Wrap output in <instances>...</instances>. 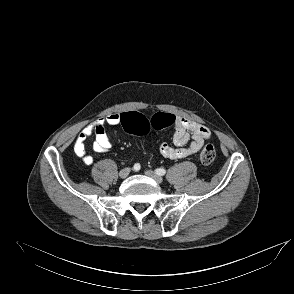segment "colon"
Masks as SVG:
<instances>
[{"label":"colon","instance_id":"5ec220e1","mask_svg":"<svg viewBox=\"0 0 294 294\" xmlns=\"http://www.w3.org/2000/svg\"><path fill=\"white\" fill-rule=\"evenodd\" d=\"M175 116L170 113H157L151 120L138 112L123 113L121 124L126 132L141 136L149 132L150 129L162 130L173 126ZM216 157V150L213 145L206 144L199 153V160L204 165L211 164Z\"/></svg>","mask_w":294,"mask_h":294}]
</instances>
